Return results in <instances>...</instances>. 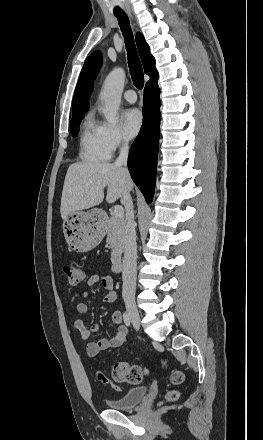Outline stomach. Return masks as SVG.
<instances>
[{"mask_svg": "<svg viewBox=\"0 0 263 440\" xmlns=\"http://www.w3.org/2000/svg\"><path fill=\"white\" fill-rule=\"evenodd\" d=\"M100 217L101 213L93 209L72 212L64 219V236L72 250L84 253L99 245L106 231V225L99 220Z\"/></svg>", "mask_w": 263, "mask_h": 440, "instance_id": "1", "label": "stomach"}]
</instances>
